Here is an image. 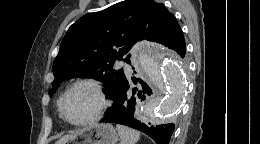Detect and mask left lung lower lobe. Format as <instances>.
Listing matches in <instances>:
<instances>
[{
  "label": "left lung lower lobe",
  "instance_id": "obj_1",
  "mask_svg": "<svg viewBox=\"0 0 260 144\" xmlns=\"http://www.w3.org/2000/svg\"><path fill=\"white\" fill-rule=\"evenodd\" d=\"M165 46L176 51L183 58L186 52L183 32L180 30ZM133 73L136 72L133 71ZM151 94V88L142 79H130L125 76L112 98V107L107 109L104 118L100 122L125 125L144 132L157 144H168L174 131V124L152 125L151 123L145 124L139 120V99L143 101L145 96H150Z\"/></svg>",
  "mask_w": 260,
  "mask_h": 144
}]
</instances>
